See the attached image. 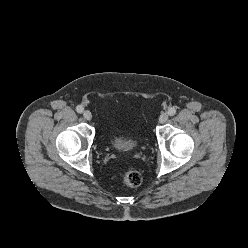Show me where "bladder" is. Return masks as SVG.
Segmentation results:
<instances>
[{
	"instance_id": "31cf9c89",
	"label": "bladder",
	"mask_w": 248,
	"mask_h": 248,
	"mask_svg": "<svg viewBox=\"0 0 248 248\" xmlns=\"http://www.w3.org/2000/svg\"><path fill=\"white\" fill-rule=\"evenodd\" d=\"M110 145L121 152H131L137 148V141L133 138L115 136L110 139Z\"/></svg>"
}]
</instances>
